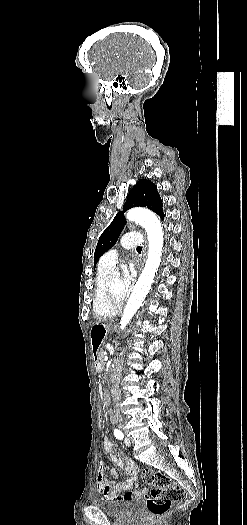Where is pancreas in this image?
I'll return each mask as SVG.
<instances>
[{
  "mask_svg": "<svg viewBox=\"0 0 247 525\" xmlns=\"http://www.w3.org/2000/svg\"><path fill=\"white\" fill-rule=\"evenodd\" d=\"M97 353V360L102 361L104 359L103 353H105V350L103 348H99Z\"/></svg>",
  "mask_w": 247,
  "mask_h": 525,
  "instance_id": "pancreas-1",
  "label": "pancreas"
}]
</instances>
